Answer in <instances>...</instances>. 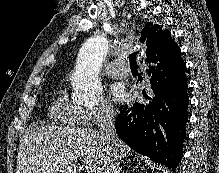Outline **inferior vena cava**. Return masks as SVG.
I'll return each instance as SVG.
<instances>
[{
	"instance_id": "obj_1",
	"label": "inferior vena cava",
	"mask_w": 219,
	"mask_h": 173,
	"mask_svg": "<svg viewBox=\"0 0 219 173\" xmlns=\"http://www.w3.org/2000/svg\"><path fill=\"white\" fill-rule=\"evenodd\" d=\"M100 135L104 143L109 147L112 158L109 159L105 173H119V159L117 155L116 136L114 132V110L106 107L100 119Z\"/></svg>"
}]
</instances>
